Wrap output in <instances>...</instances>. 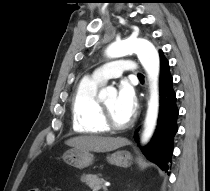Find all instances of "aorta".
I'll return each instance as SVG.
<instances>
[{
    "label": "aorta",
    "instance_id": "1",
    "mask_svg": "<svg viewBox=\"0 0 210 191\" xmlns=\"http://www.w3.org/2000/svg\"><path fill=\"white\" fill-rule=\"evenodd\" d=\"M130 53H136L142 66L147 72L150 82V99L148 101V109L146 113L144 131L142 135V143H147L156 127L159 112V72L160 60L159 54L154 45L140 38L129 37L109 45L106 55L109 58H119ZM117 91L114 87L109 86L103 88L99 92V98L105 99L108 95H116Z\"/></svg>",
    "mask_w": 210,
    "mask_h": 191
}]
</instances>
